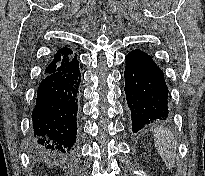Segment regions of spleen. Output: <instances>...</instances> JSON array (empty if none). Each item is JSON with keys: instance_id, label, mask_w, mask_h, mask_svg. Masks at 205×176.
I'll use <instances>...</instances> for the list:
<instances>
[{"instance_id": "spleen-1", "label": "spleen", "mask_w": 205, "mask_h": 176, "mask_svg": "<svg viewBox=\"0 0 205 176\" xmlns=\"http://www.w3.org/2000/svg\"><path fill=\"white\" fill-rule=\"evenodd\" d=\"M156 149L165 165L172 169L175 161L176 141L174 135L165 127H158L154 131Z\"/></svg>"}]
</instances>
